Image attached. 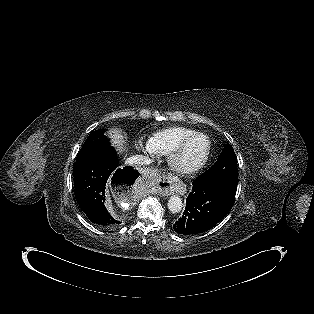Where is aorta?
<instances>
[{"instance_id": "obj_1", "label": "aorta", "mask_w": 314, "mask_h": 314, "mask_svg": "<svg viewBox=\"0 0 314 314\" xmlns=\"http://www.w3.org/2000/svg\"><path fill=\"white\" fill-rule=\"evenodd\" d=\"M182 200L180 197L178 196H171L168 200V209L170 210V212L172 213H178L181 211L182 209Z\"/></svg>"}]
</instances>
